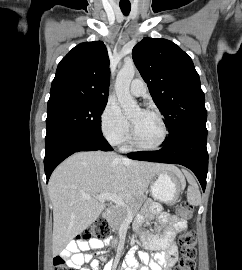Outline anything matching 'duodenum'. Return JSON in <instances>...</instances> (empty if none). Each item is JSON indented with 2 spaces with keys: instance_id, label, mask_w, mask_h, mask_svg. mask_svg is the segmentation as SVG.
<instances>
[{
  "instance_id": "obj_1",
  "label": "duodenum",
  "mask_w": 242,
  "mask_h": 270,
  "mask_svg": "<svg viewBox=\"0 0 242 270\" xmlns=\"http://www.w3.org/2000/svg\"><path fill=\"white\" fill-rule=\"evenodd\" d=\"M111 211H112L111 208H107V209L105 210V212H104V216H105V217H109L110 214H111Z\"/></svg>"
}]
</instances>
